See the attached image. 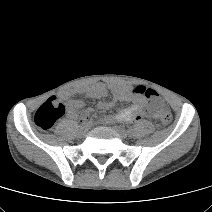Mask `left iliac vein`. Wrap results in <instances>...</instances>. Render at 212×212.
<instances>
[{
	"mask_svg": "<svg viewBox=\"0 0 212 212\" xmlns=\"http://www.w3.org/2000/svg\"><path fill=\"white\" fill-rule=\"evenodd\" d=\"M115 131L120 135L121 138H128L129 133L121 126H114Z\"/></svg>",
	"mask_w": 212,
	"mask_h": 212,
	"instance_id": "4c4485c4",
	"label": "left iliac vein"
}]
</instances>
